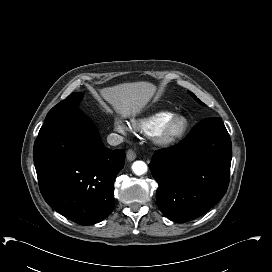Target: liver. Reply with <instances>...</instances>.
<instances>
[{"mask_svg": "<svg viewBox=\"0 0 272 272\" xmlns=\"http://www.w3.org/2000/svg\"><path fill=\"white\" fill-rule=\"evenodd\" d=\"M156 87L149 82L122 83L100 90L101 96L122 118L140 113L153 96Z\"/></svg>", "mask_w": 272, "mask_h": 272, "instance_id": "1", "label": "liver"}]
</instances>
